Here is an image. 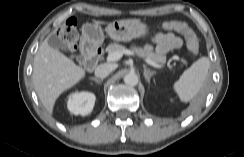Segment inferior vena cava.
I'll use <instances>...</instances> for the list:
<instances>
[{
    "label": "inferior vena cava",
    "mask_w": 244,
    "mask_h": 157,
    "mask_svg": "<svg viewBox=\"0 0 244 157\" xmlns=\"http://www.w3.org/2000/svg\"><path fill=\"white\" fill-rule=\"evenodd\" d=\"M114 70V67L110 64H101L97 66L95 69V76L98 78H105L107 77L112 71Z\"/></svg>",
    "instance_id": "obj_1"
}]
</instances>
